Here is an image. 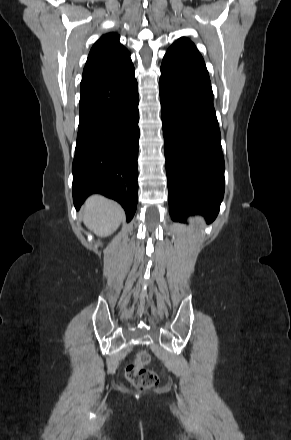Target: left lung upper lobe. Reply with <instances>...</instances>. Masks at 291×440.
Returning <instances> with one entry per match:
<instances>
[{
    "label": "left lung upper lobe",
    "mask_w": 291,
    "mask_h": 440,
    "mask_svg": "<svg viewBox=\"0 0 291 440\" xmlns=\"http://www.w3.org/2000/svg\"><path fill=\"white\" fill-rule=\"evenodd\" d=\"M166 54L182 58L196 59L204 62L195 45L184 37L178 39L173 45H171Z\"/></svg>",
    "instance_id": "1"
}]
</instances>
